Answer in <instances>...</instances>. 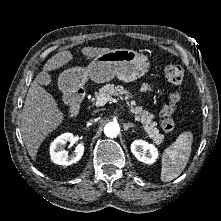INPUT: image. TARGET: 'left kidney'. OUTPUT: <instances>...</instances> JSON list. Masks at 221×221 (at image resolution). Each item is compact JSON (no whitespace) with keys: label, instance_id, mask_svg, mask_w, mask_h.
<instances>
[{"label":"left kidney","instance_id":"5707ae66","mask_svg":"<svg viewBox=\"0 0 221 221\" xmlns=\"http://www.w3.org/2000/svg\"><path fill=\"white\" fill-rule=\"evenodd\" d=\"M131 152L139 161L146 164H153L158 158L157 148L143 140L133 141Z\"/></svg>","mask_w":221,"mask_h":221}]
</instances>
